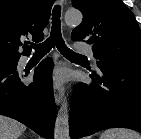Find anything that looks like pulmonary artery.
Returning a JSON list of instances; mask_svg holds the SVG:
<instances>
[{
  "instance_id": "1",
  "label": "pulmonary artery",
  "mask_w": 141,
  "mask_h": 139,
  "mask_svg": "<svg viewBox=\"0 0 141 139\" xmlns=\"http://www.w3.org/2000/svg\"><path fill=\"white\" fill-rule=\"evenodd\" d=\"M75 48L78 52L80 53H84L87 54L89 56H91L93 58V60L95 61V58L93 57V52L91 47H89L88 45H84V44H76Z\"/></svg>"
}]
</instances>
